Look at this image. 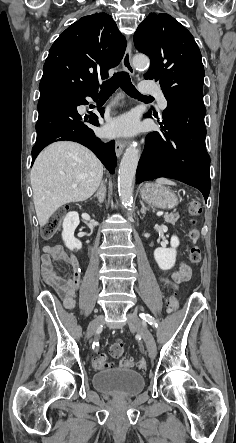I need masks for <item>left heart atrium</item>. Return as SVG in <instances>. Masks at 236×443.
Returning <instances> with one entry per match:
<instances>
[{
  "mask_svg": "<svg viewBox=\"0 0 236 443\" xmlns=\"http://www.w3.org/2000/svg\"><path fill=\"white\" fill-rule=\"evenodd\" d=\"M138 129V122L131 114L120 116L108 123L106 131L111 136L132 135Z\"/></svg>",
  "mask_w": 236,
  "mask_h": 443,
  "instance_id": "obj_1",
  "label": "left heart atrium"
}]
</instances>
